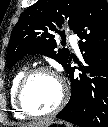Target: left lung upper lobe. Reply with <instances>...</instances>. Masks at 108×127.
<instances>
[{"mask_svg": "<svg viewBox=\"0 0 108 127\" xmlns=\"http://www.w3.org/2000/svg\"><path fill=\"white\" fill-rule=\"evenodd\" d=\"M86 0H39L28 7L15 25L8 46L7 66L10 69L27 54H43L58 61L66 68L70 53L66 48L56 49L54 34L65 24L74 28ZM101 69L90 67L92 83L97 86Z\"/></svg>", "mask_w": 108, "mask_h": 127, "instance_id": "left-lung-upper-lobe-1", "label": "left lung upper lobe"}]
</instances>
